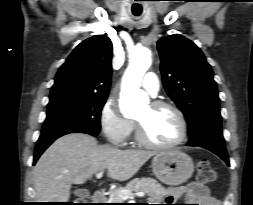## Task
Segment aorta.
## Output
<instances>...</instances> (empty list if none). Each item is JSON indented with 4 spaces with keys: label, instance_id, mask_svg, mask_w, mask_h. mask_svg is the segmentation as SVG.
Returning a JSON list of instances; mask_svg holds the SVG:
<instances>
[{
    "label": "aorta",
    "instance_id": "1",
    "mask_svg": "<svg viewBox=\"0 0 253 205\" xmlns=\"http://www.w3.org/2000/svg\"><path fill=\"white\" fill-rule=\"evenodd\" d=\"M151 65V51L137 47L130 53V63L122 79L120 110L124 117H132L149 103L147 94L140 89L141 79Z\"/></svg>",
    "mask_w": 253,
    "mask_h": 205
}]
</instances>
